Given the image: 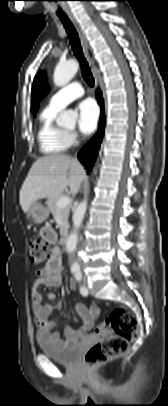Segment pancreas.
Masks as SVG:
<instances>
[{
    "label": "pancreas",
    "mask_w": 168,
    "mask_h": 406,
    "mask_svg": "<svg viewBox=\"0 0 168 406\" xmlns=\"http://www.w3.org/2000/svg\"><path fill=\"white\" fill-rule=\"evenodd\" d=\"M64 197L63 194H60L57 197H53V198H48L47 200V205H48V209L49 211L53 214V216L59 215L60 219L63 223L62 226H60V234L63 235L66 233L67 231V225H68V217H69V213H70V206H66L62 209H58L57 208V201Z\"/></svg>",
    "instance_id": "1"
}]
</instances>
